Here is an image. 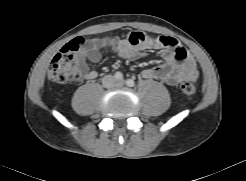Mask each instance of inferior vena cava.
<instances>
[{"label": "inferior vena cava", "instance_id": "inferior-vena-cava-1", "mask_svg": "<svg viewBox=\"0 0 246 181\" xmlns=\"http://www.w3.org/2000/svg\"><path fill=\"white\" fill-rule=\"evenodd\" d=\"M115 79L112 75H106L104 78H103V85L105 87H109L111 85V82H113Z\"/></svg>", "mask_w": 246, "mask_h": 181}]
</instances>
